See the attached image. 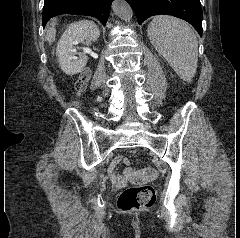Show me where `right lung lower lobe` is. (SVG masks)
<instances>
[{"label":"right lung lower lobe","mask_w":240,"mask_h":238,"mask_svg":"<svg viewBox=\"0 0 240 238\" xmlns=\"http://www.w3.org/2000/svg\"><path fill=\"white\" fill-rule=\"evenodd\" d=\"M113 0H44L42 23L45 27L51 17L78 14L96 17L103 25L108 19Z\"/></svg>","instance_id":"right-lung-lower-lobe-1"}]
</instances>
